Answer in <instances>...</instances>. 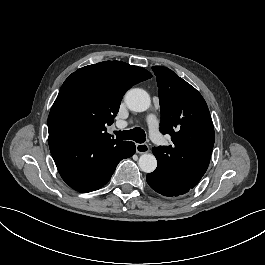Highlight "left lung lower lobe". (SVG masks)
Instances as JSON below:
<instances>
[{
    "mask_svg": "<svg viewBox=\"0 0 265 265\" xmlns=\"http://www.w3.org/2000/svg\"><path fill=\"white\" fill-rule=\"evenodd\" d=\"M146 180L153 190L167 197L180 196L193 189L184 181L160 167L147 174Z\"/></svg>",
    "mask_w": 265,
    "mask_h": 265,
    "instance_id": "left-lung-lower-lobe-1",
    "label": "left lung lower lobe"
}]
</instances>
